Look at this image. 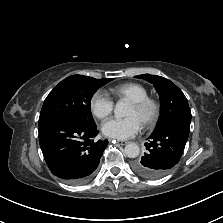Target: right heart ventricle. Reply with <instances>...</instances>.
<instances>
[{
  "label": "right heart ventricle",
  "instance_id": "e07e8e85",
  "mask_svg": "<svg viewBox=\"0 0 223 223\" xmlns=\"http://www.w3.org/2000/svg\"><path fill=\"white\" fill-rule=\"evenodd\" d=\"M110 93L118 99L140 100L148 96V90L140 83L127 82L110 88Z\"/></svg>",
  "mask_w": 223,
  "mask_h": 223
}]
</instances>
